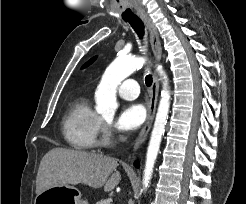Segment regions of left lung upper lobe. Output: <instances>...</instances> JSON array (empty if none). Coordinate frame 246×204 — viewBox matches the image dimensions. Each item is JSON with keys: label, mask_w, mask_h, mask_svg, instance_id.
Returning <instances> with one entry per match:
<instances>
[{"label": "left lung upper lobe", "mask_w": 246, "mask_h": 204, "mask_svg": "<svg viewBox=\"0 0 246 204\" xmlns=\"http://www.w3.org/2000/svg\"><path fill=\"white\" fill-rule=\"evenodd\" d=\"M95 59H96V57H93L92 59H90L86 64L83 65L82 68H85V67H87L88 65H90Z\"/></svg>", "instance_id": "5c2ea615"}]
</instances>
